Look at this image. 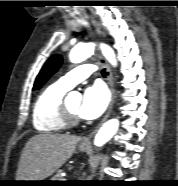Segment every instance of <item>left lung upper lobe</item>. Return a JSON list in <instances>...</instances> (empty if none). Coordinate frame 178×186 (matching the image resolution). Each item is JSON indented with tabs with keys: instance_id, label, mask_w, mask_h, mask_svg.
I'll return each mask as SVG.
<instances>
[{
	"instance_id": "1",
	"label": "left lung upper lobe",
	"mask_w": 178,
	"mask_h": 186,
	"mask_svg": "<svg viewBox=\"0 0 178 186\" xmlns=\"http://www.w3.org/2000/svg\"><path fill=\"white\" fill-rule=\"evenodd\" d=\"M62 64V56L55 54L45 63L38 74L33 89H38L59 69Z\"/></svg>"
}]
</instances>
